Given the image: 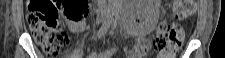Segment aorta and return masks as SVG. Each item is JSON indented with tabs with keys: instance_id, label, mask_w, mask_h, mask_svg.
<instances>
[{
	"instance_id": "aorta-1",
	"label": "aorta",
	"mask_w": 225,
	"mask_h": 58,
	"mask_svg": "<svg viewBox=\"0 0 225 58\" xmlns=\"http://www.w3.org/2000/svg\"><path fill=\"white\" fill-rule=\"evenodd\" d=\"M115 7H116V6L113 5V4L110 5V8H111V9H115Z\"/></svg>"
}]
</instances>
